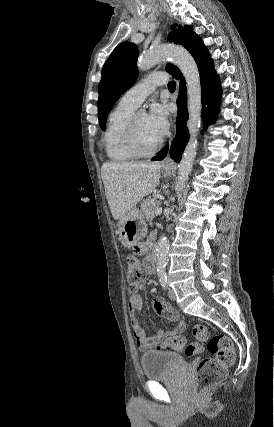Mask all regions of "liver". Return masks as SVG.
<instances>
[{
  "label": "liver",
  "instance_id": "liver-1",
  "mask_svg": "<svg viewBox=\"0 0 274 427\" xmlns=\"http://www.w3.org/2000/svg\"><path fill=\"white\" fill-rule=\"evenodd\" d=\"M159 162H106L101 168L106 200L114 219L135 210L144 196L152 194L160 180Z\"/></svg>",
  "mask_w": 274,
  "mask_h": 427
}]
</instances>
